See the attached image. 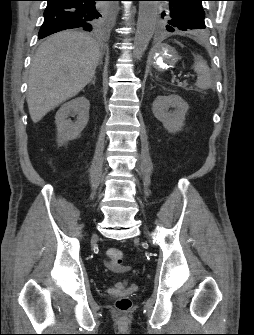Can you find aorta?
Returning a JSON list of instances; mask_svg holds the SVG:
<instances>
[{
  "label": "aorta",
  "mask_w": 254,
  "mask_h": 335,
  "mask_svg": "<svg viewBox=\"0 0 254 335\" xmlns=\"http://www.w3.org/2000/svg\"><path fill=\"white\" fill-rule=\"evenodd\" d=\"M158 11L156 1H140L137 29L134 38L133 58L138 60L146 51L153 36Z\"/></svg>",
  "instance_id": "762f6f07"
}]
</instances>
